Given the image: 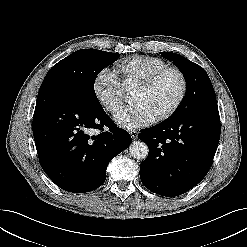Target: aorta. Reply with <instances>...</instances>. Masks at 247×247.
<instances>
[{
  "label": "aorta",
  "mask_w": 247,
  "mask_h": 247,
  "mask_svg": "<svg viewBox=\"0 0 247 247\" xmlns=\"http://www.w3.org/2000/svg\"><path fill=\"white\" fill-rule=\"evenodd\" d=\"M129 151L135 159L144 160L148 156L149 149L143 141H134L130 144Z\"/></svg>",
  "instance_id": "762f6f07"
}]
</instances>
